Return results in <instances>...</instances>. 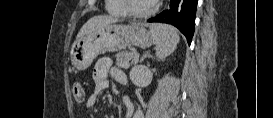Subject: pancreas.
I'll use <instances>...</instances> for the list:
<instances>
[{"label": "pancreas", "instance_id": "1", "mask_svg": "<svg viewBox=\"0 0 273 118\" xmlns=\"http://www.w3.org/2000/svg\"><path fill=\"white\" fill-rule=\"evenodd\" d=\"M132 60V54L128 52H119L116 54V65L120 68L128 69L130 67V61Z\"/></svg>", "mask_w": 273, "mask_h": 118}]
</instances>
